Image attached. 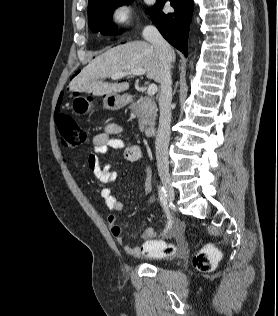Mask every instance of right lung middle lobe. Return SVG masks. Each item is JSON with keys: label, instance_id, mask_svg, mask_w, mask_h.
<instances>
[{"label": "right lung middle lobe", "instance_id": "1", "mask_svg": "<svg viewBox=\"0 0 278 316\" xmlns=\"http://www.w3.org/2000/svg\"><path fill=\"white\" fill-rule=\"evenodd\" d=\"M132 0H107L100 2L88 11V25L93 32L103 35H115L116 29L112 21V11L118 6L130 3Z\"/></svg>", "mask_w": 278, "mask_h": 316}]
</instances>
